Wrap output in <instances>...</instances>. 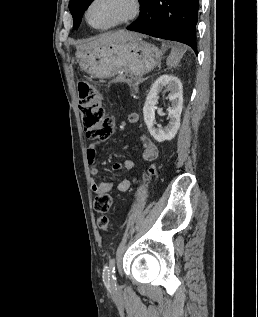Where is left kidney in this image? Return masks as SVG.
<instances>
[{
  "instance_id": "5707ae66",
  "label": "left kidney",
  "mask_w": 258,
  "mask_h": 317,
  "mask_svg": "<svg viewBox=\"0 0 258 317\" xmlns=\"http://www.w3.org/2000/svg\"><path fill=\"white\" fill-rule=\"evenodd\" d=\"M161 88H167L170 90L169 100H171L169 114V124H166L164 128H156L155 122V108L158 102V92ZM183 108V88L182 82L178 76L174 74H161L157 80L153 82L147 98L143 106L144 122L147 124V128L154 136L155 140L162 142V140H171L178 132L180 126V116Z\"/></svg>"
}]
</instances>
